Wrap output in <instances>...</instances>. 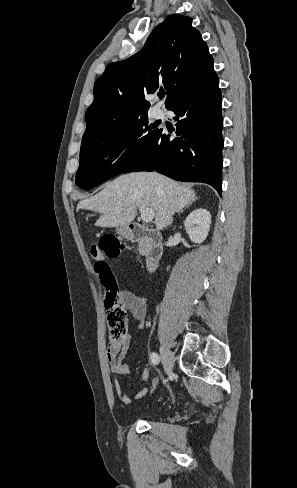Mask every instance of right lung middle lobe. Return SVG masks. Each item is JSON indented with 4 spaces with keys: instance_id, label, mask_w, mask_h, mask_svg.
I'll return each mask as SVG.
<instances>
[{
    "instance_id": "right-lung-middle-lobe-1",
    "label": "right lung middle lobe",
    "mask_w": 297,
    "mask_h": 488,
    "mask_svg": "<svg viewBox=\"0 0 297 488\" xmlns=\"http://www.w3.org/2000/svg\"><path fill=\"white\" fill-rule=\"evenodd\" d=\"M153 128L143 116L106 134L83 138L76 184L90 189L122 173L158 134Z\"/></svg>"
}]
</instances>
